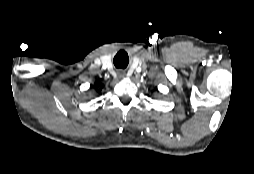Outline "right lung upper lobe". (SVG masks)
<instances>
[{
	"instance_id": "obj_1",
	"label": "right lung upper lobe",
	"mask_w": 254,
	"mask_h": 174,
	"mask_svg": "<svg viewBox=\"0 0 254 174\" xmlns=\"http://www.w3.org/2000/svg\"><path fill=\"white\" fill-rule=\"evenodd\" d=\"M99 85H100L99 82H96V83H95V86H96V87L99 86ZM102 87H103V85L100 86L101 89H102Z\"/></svg>"
}]
</instances>
